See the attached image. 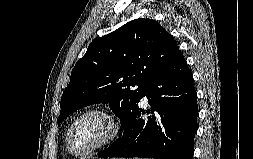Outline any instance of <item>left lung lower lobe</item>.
Returning <instances> with one entry per match:
<instances>
[{
    "instance_id": "obj_1",
    "label": "left lung lower lobe",
    "mask_w": 253,
    "mask_h": 159,
    "mask_svg": "<svg viewBox=\"0 0 253 159\" xmlns=\"http://www.w3.org/2000/svg\"><path fill=\"white\" fill-rule=\"evenodd\" d=\"M150 116L143 120L138 105L122 129L123 136L99 157L192 159L198 117L197 93L187 62L178 51L145 87ZM141 97V98H142Z\"/></svg>"
}]
</instances>
